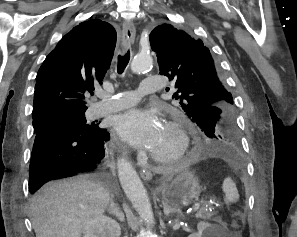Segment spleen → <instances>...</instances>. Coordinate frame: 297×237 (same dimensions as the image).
Segmentation results:
<instances>
[{
	"instance_id": "3e777b00",
	"label": "spleen",
	"mask_w": 297,
	"mask_h": 237,
	"mask_svg": "<svg viewBox=\"0 0 297 237\" xmlns=\"http://www.w3.org/2000/svg\"><path fill=\"white\" fill-rule=\"evenodd\" d=\"M222 189L225 193L226 199L235 202L239 199L238 190L235 183L231 178H225L223 181Z\"/></svg>"
}]
</instances>
